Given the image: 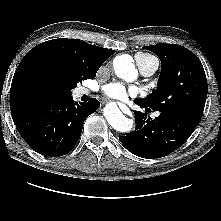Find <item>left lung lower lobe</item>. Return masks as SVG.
Instances as JSON below:
<instances>
[{
	"instance_id": "left-lung-lower-lobe-1",
	"label": "left lung lower lobe",
	"mask_w": 221,
	"mask_h": 221,
	"mask_svg": "<svg viewBox=\"0 0 221 221\" xmlns=\"http://www.w3.org/2000/svg\"><path fill=\"white\" fill-rule=\"evenodd\" d=\"M135 103L145 107L139 100ZM160 112L155 119H146L144 113L134 111L136 130L119 137L128 151L148 159L166 156L185 143L201 119L174 110Z\"/></svg>"
}]
</instances>
